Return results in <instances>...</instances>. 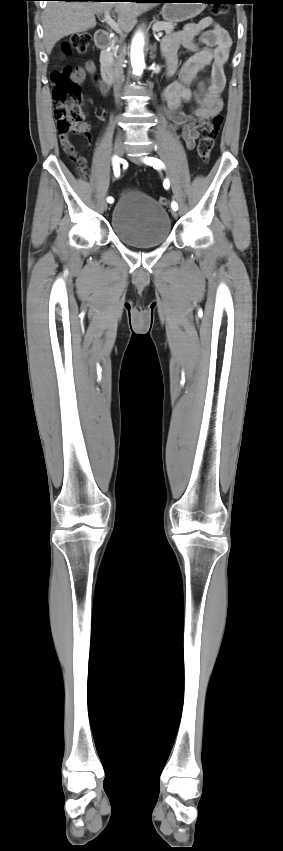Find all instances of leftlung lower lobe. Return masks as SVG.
Masks as SVG:
<instances>
[{
  "instance_id": "obj_1",
  "label": "left lung lower lobe",
  "mask_w": 283,
  "mask_h": 851,
  "mask_svg": "<svg viewBox=\"0 0 283 851\" xmlns=\"http://www.w3.org/2000/svg\"><path fill=\"white\" fill-rule=\"evenodd\" d=\"M165 1L166 0H150V2H165ZM212 3H216V2H212ZM218 3L234 4V3H239V2H236L235 0H227V2H218Z\"/></svg>"
}]
</instances>
